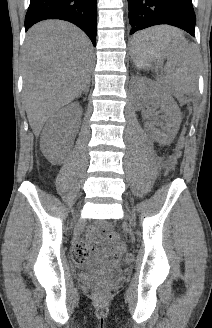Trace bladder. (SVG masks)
<instances>
[{
	"label": "bladder",
	"mask_w": 212,
	"mask_h": 328,
	"mask_svg": "<svg viewBox=\"0 0 212 328\" xmlns=\"http://www.w3.org/2000/svg\"><path fill=\"white\" fill-rule=\"evenodd\" d=\"M84 267H85V270L78 274V276L81 280L88 281L99 275V273L97 271H94L91 268L92 263L87 262L84 264Z\"/></svg>",
	"instance_id": "obj_1"
}]
</instances>
